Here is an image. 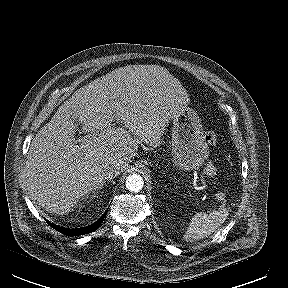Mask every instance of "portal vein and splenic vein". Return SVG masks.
Listing matches in <instances>:
<instances>
[{
  "label": "portal vein and splenic vein",
  "mask_w": 288,
  "mask_h": 288,
  "mask_svg": "<svg viewBox=\"0 0 288 288\" xmlns=\"http://www.w3.org/2000/svg\"><path fill=\"white\" fill-rule=\"evenodd\" d=\"M200 183L202 185V188L205 189L207 187V183L205 178L202 175H199Z\"/></svg>",
  "instance_id": "18ae733b"
}]
</instances>
